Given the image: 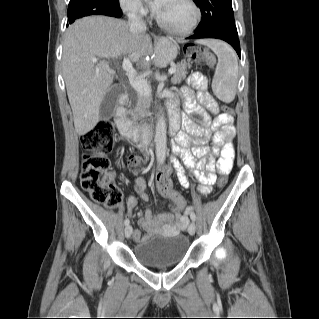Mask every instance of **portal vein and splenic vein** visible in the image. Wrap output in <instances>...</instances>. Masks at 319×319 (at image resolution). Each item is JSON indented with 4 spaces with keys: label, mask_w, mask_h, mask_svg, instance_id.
Masks as SVG:
<instances>
[{
    "label": "portal vein and splenic vein",
    "mask_w": 319,
    "mask_h": 319,
    "mask_svg": "<svg viewBox=\"0 0 319 319\" xmlns=\"http://www.w3.org/2000/svg\"><path fill=\"white\" fill-rule=\"evenodd\" d=\"M93 61L96 62L97 60L94 59ZM122 68L127 72L130 84L140 95L149 96L151 94V89L149 85L145 81L138 80L135 78L136 72L132 67L130 59L124 58L122 63ZM175 71H176L175 67L172 66L168 72L169 74H173L175 73Z\"/></svg>",
    "instance_id": "1"
}]
</instances>
